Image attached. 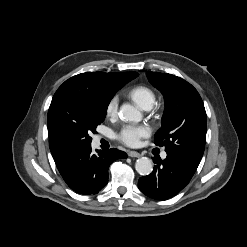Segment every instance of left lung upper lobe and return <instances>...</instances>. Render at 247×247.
Wrapping results in <instances>:
<instances>
[{
	"instance_id": "1",
	"label": "left lung upper lobe",
	"mask_w": 247,
	"mask_h": 247,
	"mask_svg": "<svg viewBox=\"0 0 247 247\" xmlns=\"http://www.w3.org/2000/svg\"><path fill=\"white\" fill-rule=\"evenodd\" d=\"M150 83L164 96L162 127L155 144L170 154L200 161L205 148L206 112L197 90L187 81L168 73H146Z\"/></svg>"
}]
</instances>
